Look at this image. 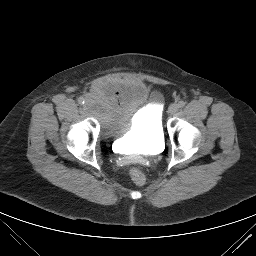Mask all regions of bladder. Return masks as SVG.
Instances as JSON below:
<instances>
[{"mask_svg":"<svg viewBox=\"0 0 256 256\" xmlns=\"http://www.w3.org/2000/svg\"><path fill=\"white\" fill-rule=\"evenodd\" d=\"M105 137L126 136L128 146L155 149L164 141L161 95L137 81L104 80L87 96Z\"/></svg>","mask_w":256,"mask_h":256,"instance_id":"obj_1","label":"bladder"}]
</instances>
